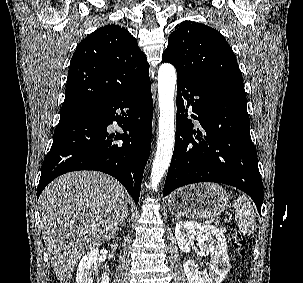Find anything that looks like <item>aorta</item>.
Masks as SVG:
<instances>
[{
  "mask_svg": "<svg viewBox=\"0 0 303 283\" xmlns=\"http://www.w3.org/2000/svg\"><path fill=\"white\" fill-rule=\"evenodd\" d=\"M176 70L173 65L163 63L158 70V101L160 108L159 137L151 171V189L157 187L169 168L175 140L174 132V93Z\"/></svg>",
  "mask_w": 303,
  "mask_h": 283,
  "instance_id": "1",
  "label": "aorta"
}]
</instances>
